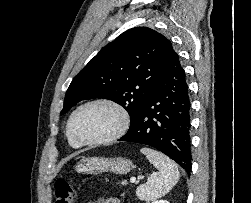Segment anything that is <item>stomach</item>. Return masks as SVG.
<instances>
[{
    "label": "stomach",
    "instance_id": "obj_1",
    "mask_svg": "<svg viewBox=\"0 0 251 203\" xmlns=\"http://www.w3.org/2000/svg\"><path fill=\"white\" fill-rule=\"evenodd\" d=\"M132 167V162L129 159L122 157H90L82 158L77 162L75 170L82 174H98L108 171L116 174H126L130 172Z\"/></svg>",
    "mask_w": 251,
    "mask_h": 203
}]
</instances>
